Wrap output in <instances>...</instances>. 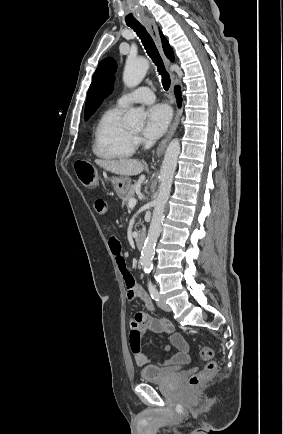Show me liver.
Instances as JSON below:
<instances>
[{"mask_svg": "<svg viewBox=\"0 0 283 434\" xmlns=\"http://www.w3.org/2000/svg\"><path fill=\"white\" fill-rule=\"evenodd\" d=\"M95 163L107 171L121 176H136L143 172L145 165L136 159L95 160Z\"/></svg>", "mask_w": 283, "mask_h": 434, "instance_id": "6515ba94", "label": "liver"}]
</instances>
